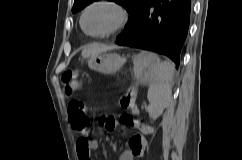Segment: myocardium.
<instances>
[{
  "mask_svg": "<svg viewBox=\"0 0 242 160\" xmlns=\"http://www.w3.org/2000/svg\"><path fill=\"white\" fill-rule=\"evenodd\" d=\"M99 5H107V6L114 8L119 14V19H118V22L116 23V25H114L109 30H107L103 33L94 34V33H90L89 31H87L84 21H85V16H86L87 12L90 9H92L93 7H96ZM128 19H129V13H128L127 9L125 8V6L123 4H121L119 1H117V0H94L83 9L81 16H80V25L86 35L93 37V38H106V37H109L111 35L118 33L119 31H121L126 26Z\"/></svg>",
  "mask_w": 242,
  "mask_h": 160,
  "instance_id": "1",
  "label": "myocardium"
}]
</instances>
